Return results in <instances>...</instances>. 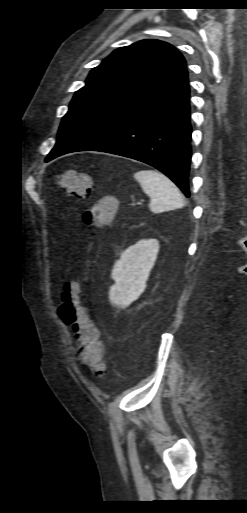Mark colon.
Wrapping results in <instances>:
<instances>
[{
  "mask_svg": "<svg viewBox=\"0 0 247 513\" xmlns=\"http://www.w3.org/2000/svg\"><path fill=\"white\" fill-rule=\"evenodd\" d=\"M60 183L66 192L76 198H85L92 191V181L88 174L77 170H67L60 177ZM117 204L111 196L104 197L99 204L88 208L83 220L96 227H107L116 212ZM59 313L64 322L69 325L78 341L76 355L83 369L91 365L97 376H102L105 365L102 362L105 349L98 340L99 331L95 326L88 309L80 302V285L76 281L67 282L61 292Z\"/></svg>",
  "mask_w": 247,
  "mask_h": 513,
  "instance_id": "1",
  "label": "colon"
}]
</instances>
